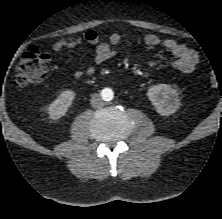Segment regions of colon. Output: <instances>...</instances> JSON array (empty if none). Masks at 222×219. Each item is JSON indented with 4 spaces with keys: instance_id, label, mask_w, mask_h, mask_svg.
<instances>
[{
    "instance_id": "1",
    "label": "colon",
    "mask_w": 222,
    "mask_h": 219,
    "mask_svg": "<svg viewBox=\"0 0 222 219\" xmlns=\"http://www.w3.org/2000/svg\"><path fill=\"white\" fill-rule=\"evenodd\" d=\"M50 61V56L38 48L27 49L15 68L12 78L14 86L23 88L43 81L49 73ZM209 78L211 84L214 85L216 76L211 73Z\"/></svg>"
}]
</instances>
